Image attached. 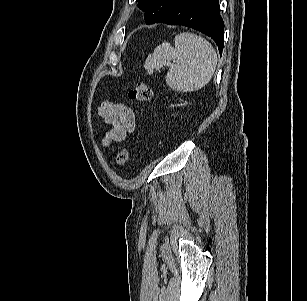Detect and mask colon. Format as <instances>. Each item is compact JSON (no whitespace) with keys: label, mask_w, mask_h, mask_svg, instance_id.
<instances>
[{"label":"colon","mask_w":307,"mask_h":301,"mask_svg":"<svg viewBox=\"0 0 307 301\" xmlns=\"http://www.w3.org/2000/svg\"><path fill=\"white\" fill-rule=\"evenodd\" d=\"M128 96L131 100L137 102H148L152 98V90L146 82H136L130 89ZM129 158V150L126 147L121 148L115 157V163L118 166H123Z\"/></svg>","instance_id":"5ec220e1"}]
</instances>
